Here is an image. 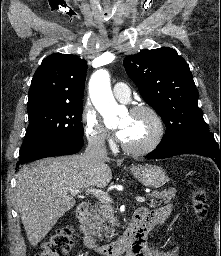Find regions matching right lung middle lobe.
Here are the masks:
<instances>
[{"instance_id": "obj_1", "label": "right lung middle lobe", "mask_w": 221, "mask_h": 256, "mask_svg": "<svg viewBox=\"0 0 221 256\" xmlns=\"http://www.w3.org/2000/svg\"><path fill=\"white\" fill-rule=\"evenodd\" d=\"M82 106L66 103L28 110L29 126L19 153L51 139L83 137Z\"/></svg>"}]
</instances>
